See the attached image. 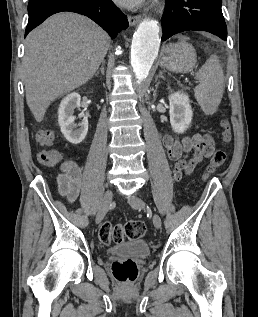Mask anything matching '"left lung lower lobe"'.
Wrapping results in <instances>:
<instances>
[{
    "label": "left lung lower lobe",
    "instance_id": "obj_1",
    "mask_svg": "<svg viewBox=\"0 0 258 317\" xmlns=\"http://www.w3.org/2000/svg\"><path fill=\"white\" fill-rule=\"evenodd\" d=\"M161 19L165 41L174 34L200 30L227 40V27L221 10L222 0H165Z\"/></svg>",
    "mask_w": 258,
    "mask_h": 317
}]
</instances>
